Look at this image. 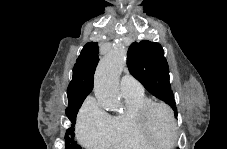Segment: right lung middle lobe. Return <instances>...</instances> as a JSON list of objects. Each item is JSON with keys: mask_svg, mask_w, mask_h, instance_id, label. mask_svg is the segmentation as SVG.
<instances>
[{"mask_svg": "<svg viewBox=\"0 0 227 149\" xmlns=\"http://www.w3.org/2000/svg\"><path fill=\"white\" fill-rule=\"evenodd\" d=\"M83 102V101H82ZM82 102L76 105L75 107L66 109V115L68 119L71 121L72 125L76 122V116L78 113L79 108L82 105ZM74 127H70L66 131L65 135V147L66 149H81L79 145H77L76 141L74 140Z\"/></svg>", "mask_w": 227, "mask_h": 149, "instance_id": "right-lung-middle-lobe-1", "label": "right lung middle lobe"}]
</instances>
